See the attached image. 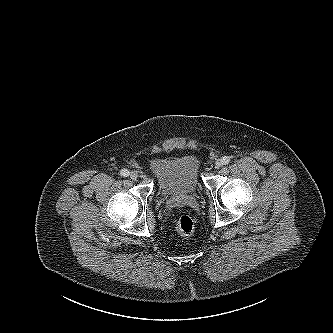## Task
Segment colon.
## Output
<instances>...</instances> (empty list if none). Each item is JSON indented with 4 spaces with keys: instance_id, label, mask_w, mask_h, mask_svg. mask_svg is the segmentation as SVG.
I'll list each match as a JSON object with an SVG mask.
<instances>
[{
    "instance_id": "5ec220e1",
    "label": "colon",
    "mask_w": 333,
    "mask_h": 333,
    "mask_svg": "<svg viewBox=\"0 0 333 333\" xmlns=\"http://www.w3.org/2000/svg\"><path fill=\"white\" fill-rule=\"evenodd\" d=\"M176 229L183 236L191 235L194 231L193 219L188 215L181 216L177 221Z\"/></svg>"
}]
</instances>
